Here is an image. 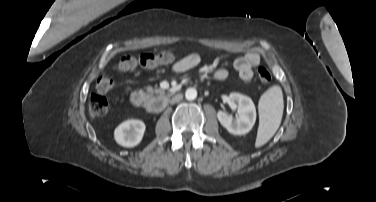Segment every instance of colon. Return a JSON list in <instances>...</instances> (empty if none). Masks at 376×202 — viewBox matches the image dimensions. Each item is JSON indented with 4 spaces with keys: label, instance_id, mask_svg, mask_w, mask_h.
Instances as JSON below:
<instances>
[{
    "label": "colon",
    "instance_id": "obj_1",
    "mask_svg": "<svg viewBox=\"0 0 376 202\" xmlns=\"http://www.w3.org/2000/svg\"><path fill=\"white\" fill-rule=\"evenodd\" d=\"M176 60L175 53L164 51L157 54L147 53L140 56L125 55L120 58L114 69L125 73L136 68H152L162 64H170ZM259 80L266 84L271 80V74L265 67H259L257 71ZM113 87V79L108 74H102L96 81V93H93L88 102V114L90 117H98L106 113L108 109L107 99L103 94L107 93Z\"/></svg>",
    "mask_w": 376,
    "mask_h": 202
}]
</instances>
